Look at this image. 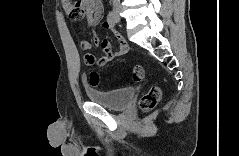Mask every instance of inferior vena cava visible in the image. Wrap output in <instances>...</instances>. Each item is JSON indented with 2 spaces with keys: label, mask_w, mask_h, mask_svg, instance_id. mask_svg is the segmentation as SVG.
<instances>
[{
  "label": "inferior vena cava",
  "mask_w": 239,
  "mask_h": 156,
  "mask_svg": "<svg viewBox=\"0 0 239 156\" xmlns=\"http://www.w3.org/2000/svg\"><path fill=\"white\" fill-rule=\"evenodd\" d=\"M115 4H119L120 0H113Z\"/></svg>",
  "instance_id": "obj_1"
}]
</instances>
